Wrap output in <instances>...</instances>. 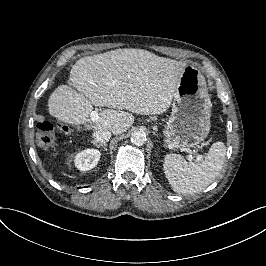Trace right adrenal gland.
<instances>
[{
	"label": "right adrenal gland",
	"instance_id": "2a0ac1e0",
	"mask_svg": "<svg viewBox=\"0 0 266 266\" xmlns=\"http://www.w3.org/2000/svg\"><path fill=\"white\" fill-rule=\"evenodd\" d=\"M90 143H92V145L94 146V147H98V148H104V150H106V146H107V144L106 143H100V144H98V143H96L95 141H91Z\"/></svg>",
	"mask_w": 266,
	"mask_h": 266
}]
</instances>
